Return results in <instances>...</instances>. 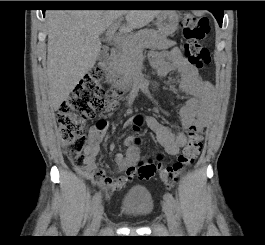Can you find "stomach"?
Wrapping results in <instances>:
<instances>
[{
  "label": "stomach",
  "mask_w": 265,
  "mask_h": 245,
  "mask_svg": "<svg viewBox=\"0 0 265 245\" xmlns=\"http://www.w3.org/2000/svg\"><path fill=\"white\" fill-rule=\"evenodd\" d=\"M158 33L162 36L173 34L179 25V16L176 11H164L157 16Z\"/></svg>",
  "instance_id": "obj_1"
}]
</instances>
